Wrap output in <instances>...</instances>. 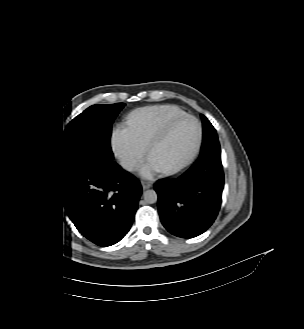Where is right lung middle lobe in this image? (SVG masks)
Instances as JSON below:
<instances>
[{"mask_svg":"<svg viewBox=\"0 0 304 329\" xmlns=\"http://www.w3.org/2000/svg\"><path fill=\"white\" fill-rule=\"evenodd\" d=\"M124 103L93 105L69 122L59 151V170L77 164L111 165V126Z\"/></svg>","mask_w":304,"mask_h":329,"instance_id":"dd1d6c3e","label":"right lung middle lobe"}]
</instances>
